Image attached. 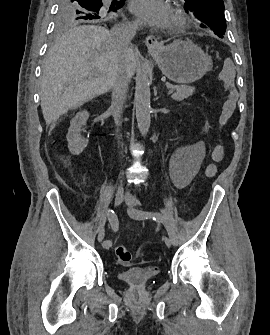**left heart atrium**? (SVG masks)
Listing matches in <instances>:
<instances>
[{
    "label": "left heart atrium",
    "mask_w": 270,
    "mask_h": 335,
    "mask_svg": "<svg viewBox=\"0 0 270 335\" xmlns=\"http://www.w3.org/2000/svg\"><path fill=\"white\" fill-rule=\"evenodd\" d=\"M131 10L139 17L141 26L153 32L171 28L176 23L172 9L162 0H134Z\"/></svg>",
    "instance_id": "obj_1"
}]
</instances>
